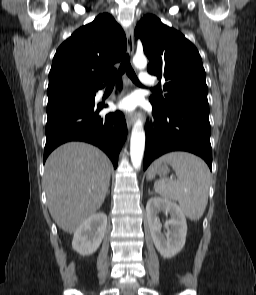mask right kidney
Wrapping results in <instances>:
<instances>
[{
	"instance_id": "1",
	"label": "right kidney",
	"mask_w": 256,
	"mask_h": 295,
	"mask_svg": "<svg viewBox=\"0 0 256 295\" xmlns=\"http://www.w3.org/2000/svg\"><path fill=\"white\" fill-rule=\"evenodd\" d=\"M107 226V216L98 212L85 220L74 232L72 248L83 256L93 254L100 246Z\"/></svg>"
}]
</instances>
